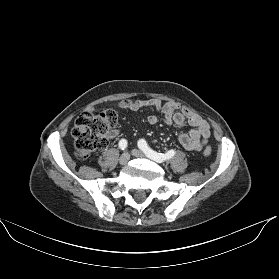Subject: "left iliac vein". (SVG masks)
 <instances>
[{
	"label": "left iliac vein",
	"instance_id": "obj_1",
	"mask_svg": "<svg viewBox=\"0 0 279 279\" xmlns=\"http://www.w3.org/2000/svg\"><path fill=\"white\" fill-rule=\"evenodd\" d=\"M131 153L135 157H144V154L140 150H137V149H133Z\"/></svg>",
	"mask_w": 279,
	"mask_h": 279
}]
</instances>
